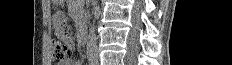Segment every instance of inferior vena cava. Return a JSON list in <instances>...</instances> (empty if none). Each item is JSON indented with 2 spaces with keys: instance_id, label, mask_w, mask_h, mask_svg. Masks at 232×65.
<instances>
[{
  "instance_id": "inferior-vena-cava-1",
  "label": "inferior vena cava",
  "mask_w": 232,
  "mask_h": 65,
  "mask_svg": "<svg viewBox=\"0 0 232 65\" xmlns=\"http://www.w3.org/2000/svg\"><path fill=\"white\" fill-rule=\"evenodd\" d=\"M87 57L89 61H97L98 59L97 42H96V35L94 32V27L90 29V33L88 36Z\"/></svg>"
}]
</instances>
